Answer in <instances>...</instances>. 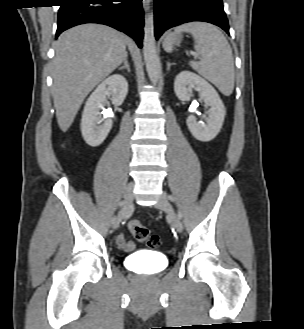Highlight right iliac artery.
I'll return each instance as SVG.
<instances>
[{
  "label": "right iliac artery",
  "instance_id": "82829eb1",
  "mask_svg": "<svg viewBox=\"0 0 304 329\" xmlns=\"http://www.w3.org/2000/svg\"><path fill=\"white\" fill-rule=\"evenodd\" d=\"M123 204H124V201L119 202V207H122ZM115 220H116V216L112 217L111 218V223L113 224L115 222Z\"/></svg>",
  "mask_w": 304,
  "mask_h": 329
}]
</instances>
